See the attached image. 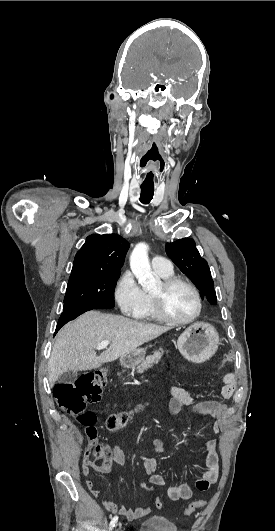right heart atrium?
Here are the masks:
<instances>
[{
    "instance_id": "1",
    "label": "right heart atrium",
    "mask_w": 275,
    "mask_h": 531,
    "mask_svg": "<svg viewBox=\"0 0 275 531\" xmlns=\"http://www.w3.org/2000/svg\"><path fill=\"white\" fill-rule=\"evenodd\" d=\"M115 298L123 314L137 317L147 304V294L136 282L132 272L126 271L115 288Z\"/></svg>"
}]
</instances>
